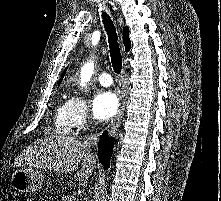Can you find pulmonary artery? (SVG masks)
Listing matches in <instances>:
<instances>
[{
  "mask_svg": "<svg viewBox=\"0 0 221 201\" xmlns=\"http://www.w3.org/2000/svg\"><path fill=\"white\" fill-rule=\"evenodd\" d=\"M112 77L109 73L104 72L99 76V83L104 86V87H108L112 84Z\"/></svg>",
  "mask_w": 221,
  "mask_h": 201,
  "instance_id": "pulmonary-artery-1",
  "label": "pulmonary artery"
}]
</instances>
